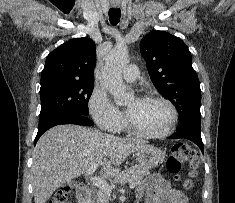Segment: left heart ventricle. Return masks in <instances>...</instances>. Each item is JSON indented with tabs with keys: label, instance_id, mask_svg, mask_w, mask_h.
<instances>
[{
	"label": "left heart ventricle",
	"instance_id": "obj_1",
	"mask_svg": "<svg viewBox=\"0 0 235 203\" xmlns=\"http://www.w3.org/2000/svg\"><path fill=\"white\" fill-rule=\"evenodd\" d=\"M127 108L131 122L145 132L162 131L170 118L167 106L157 101L133 99L128 103Z\"/></svg>",
	"mask_w": 235,
	"mask_h": 203
}]
</instances>
